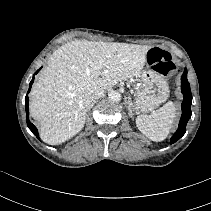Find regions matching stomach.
Returning <instances> with one entry per match:
<instances>
[{"mask_svg":"<svg viewBox=\"0 0 211 211\" xmlns=\"http://www.w3.org/2000/svg\"><path fill=\"white\" fill-rule=\"evenodd\" d=\"M141 87L135 94V109L146 113L153 111L169 97V86L165 77L148 66L139 73Z\"/></svg>","mask_w":211,"mask_h":211,"instance_id":"0dacf381","label":"stomach"}]
</instances>
